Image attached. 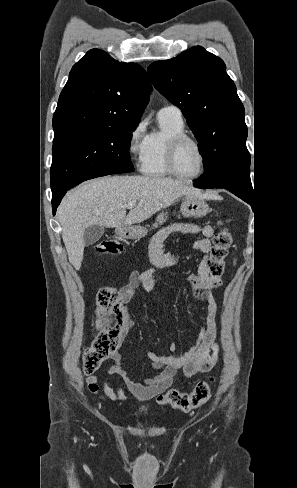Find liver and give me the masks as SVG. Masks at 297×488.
Wrapping results in <instances>:
<instances>
[{"mask_svg":"<svg viewBox=\"0 0 297 488\" xmlns=\"http://www.w3.org/2000/svg\"><path fill=\"white\" fill-rule=\"evenodd\" d=\"M185 195L207 196L179 180L135 175L97 178L69 191L57 210L69 262L76 270L81 268L83 236L89 226L117 230L141 223ZM132 201L138 204L127 214L125 205Z\"/></svg>","mask_w":297,"mask_h":488,"instance_id":"1","label":"liver"}]
</instances>
